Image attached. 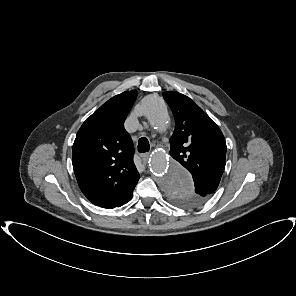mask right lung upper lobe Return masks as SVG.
Instances as JSON below:
<instances>
[{
	"label": "right lung upper lobe",
	"instance_id": "1",
	"mask_svg": "<svg viewBox=\"0 0 296 296\" xmlns=\"http://www.w3.org/2000/svg\"><path fill=\"white\" fill-rule=\"evenodd\" d=\"M137 91L112 97L86 119L73 144V169L83 194L103 208L131 200L140 176L133 162V142L124 129Z\"/></svg>",
	"mask_w": 296,
	"mask_h": 296
}]
</instances>
